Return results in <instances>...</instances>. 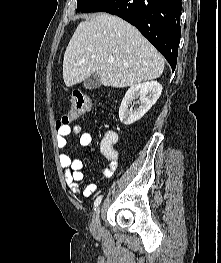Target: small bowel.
I'll use <instances>...</instances> for the list:
<instances>
[{
    "mask_svg": "<svg viewBox=\"0 0 221 263\" xmlns=\"http://www.w3.org/2000/svg\"><path fill=\"white\" fill-rule=\"evenodd\" d=\"M70 134L79 137L81 146L89 148L92 152H99L108 161V166L101 168L100 173L105 178L112 177L118 166V153L114 148L118 141L117 133L114 131L106 132L97 148L94 146L92 134L83 131L80 125L62 127L58 130L56 137L58 148L63 149L66 147L67 136ZM59 163L64 169V180L70 192L90 197L96 191L97 186L94 183H88L84 187L80 186V182L84 179L82 172L83 162L80 158H72L67 153L62 152L59 154Z\"/></svg>",
    "mask_w": 221,
    "mask_h": 263,
    "instance_id": "small-bowel-1",
    "label": "small bowel"
}]
</instances>
